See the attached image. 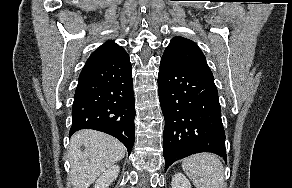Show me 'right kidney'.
Listing matches in <instances>:
<instances>
[{
	"instance_id": "ca27d5eb",
	"label": "right kidney",
	"mask_w": 292,
	"mask_h": 188,
	"mask_svg": "<svg viewBox=\"0 0 292 188\" xmlns=\"http://www.w3.org/2000/svg\"><path fill=\"white\" fill-rule=\"evenodd\" d=\"M120 167L113 165L109 167L95 182L94 188H108L109 185L117 178Z\"/></svg>"
}]
</instances>
